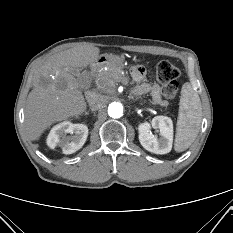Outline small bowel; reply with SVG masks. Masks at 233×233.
Listing matches in <instances>:
<instances>
[{"label": "small bowel", "mask_w": 233, "mask_h": 233, "mask_svg": "<svg viewBox=\"0 0 233 233\" xmlns=\"http://www.w3.org/2000/svg\"><path fill=\"white\" fill-rule=\"evenodd\" d=\"M133 79L138 83L135 88L137 94L151 93L152 101L159 106H165L167 102L161 96V87L159 84H149L145 81L146 69L142 65H135L131 69Z\"/></svg>", "instance_id": "1"}]
</instances>
